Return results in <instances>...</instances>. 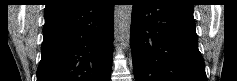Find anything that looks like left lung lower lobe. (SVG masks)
<instances>
[{"mask_svg":"<svg viewBox=\"0 0 237 81\" xmlns=\"http://www.w3.org/2000/svg\"><path fill=\"white\" fill-rule=\"evenodd\" d=\"M135 81H207L193 7L135 0L131 17Z\"/></svg>","mask_w":237,"mask_h":81,"instance_id":"0a47b994","label":"left lung lower lobe"}]
</instances>
